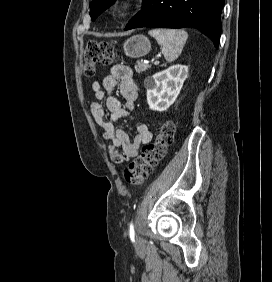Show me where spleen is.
Listing matches in <instances>:
<instances>
[{"label":"spleen","mask_w":272,"mask_h":282,"mask_svg":"<svg viewBox=\"0 0 272 282\" xmlns=\"http://www.w3.org/2000/svg\"><path fill=\"white\" fill-rule=\"evenodd\" d=\"M149 35L154 37L162 48L167 62H173L181 54L188 38L187 32L177 29H152Z\"/></svg>","instance_id":"spleen-1"}]
</instances>
